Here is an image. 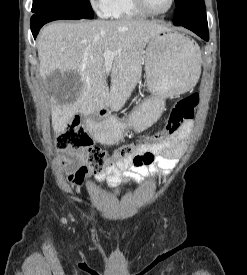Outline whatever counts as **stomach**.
Here are the masks:
<instances>
[{"label": "stomach", "mask_w": 247, "mask_h": 275, "mask_svg": "<svg viewBox=\"0 0 247 275\" xmlns=\"http://www.w3.org/2000/svg\"><path fill=\"white\" fill-rule=\"evenodd\" d=\"M146 84L151 96L139 104L124 122H90L89 130L104 144L122 139L126 130L141 132L161 116L167 97L189 91L201 73L199 47L188 37L168 30L153 37L145 55Z\"/></svg>", "instance_id": "stomach-1"}]
</instances>
